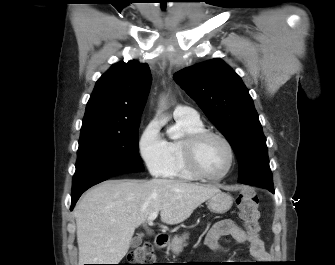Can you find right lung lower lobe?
Wrapping results in <instances>:
<instances>
[{
    "label": "right lung lower lobe",
    "instance_id": "1",
    "mask_svg": "<svg viewBox=\"0 0 335 265\" xmlns=\"http://www.w3.org/2000/svg\"><path fill=\"white\" fill-rule=\"evenodd\" d=\"M108 177H104V178H99V179H96V180H93L89 183H86L82 186H80L79 188L75 189V190H72V204H71V210L74 208L76 202L78 201L79 197L82 195V193L84 191H86L88 188H90L91 186L97 184V183H100L104 180H106Z\"/></svg>",
    "mask_w": 335,
    "mask_h": 265
}]
</instances>
